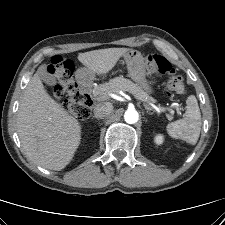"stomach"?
<instances>
[{
    "label": "stomach",
    "instance_id": "obj_1",
    "mask_svg": "<svg viewBox=\"0 0 225 225\" xmlns=\"http://www.w3.org/2000/svg\"><path fill=\"white\" fill-rule=\"evenodd\" d=\"M123 56L127 65L129 77L136 82L141 89H144L146 93H153V88L146 78V62L143 55L137 50H129ZM85 71L89 75L93 74L88 69H85Z\"/></svg>",
    "mask_w": 225,
    "mask_h": 225
}]
</instances>
